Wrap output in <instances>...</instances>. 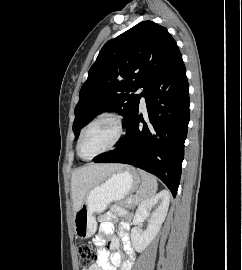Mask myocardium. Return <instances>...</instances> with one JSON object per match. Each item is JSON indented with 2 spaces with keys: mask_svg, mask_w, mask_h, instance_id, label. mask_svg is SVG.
I'll return each mask as SVG.
<instances>
[{
  "mask_svg": "<svg viewBox=\"0 0 242 270\" xmlns=\"http://www.w3.org/2000/svg\"><path fill=\"white\" fill-rule=\"evenodd\" d=\"M101 121H110L112 122L115 126H116V136L114 138V140L112 141V143L106 147L104 150L98 152L97 154L89 157V158H85L81 155L80 152V145H81V141L82 138L85 134V132L92 127L93 125H95L98 122ZM125 134V123L124 120L122 118V116H120L119 114L113 113V112H106V113H102L100 115H98L97 117H95L91 122H89L81 131L78 141H77V146H76V150H77V154L78 156L82 159V160H92L102 154H105L111 150H113L122 140L123 136Z\"/></svg>",
  "mask_w": 242,
  "mask_h": 270,
  "instance_id": "obj_1",
  "label": "myocardium"
}]
</instances>
